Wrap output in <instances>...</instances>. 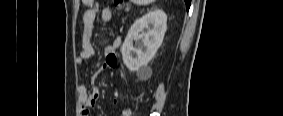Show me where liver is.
Masks as SVG:
<instances>
[{"instance_id": "liver-1", "label": "liver", "mask_w": 283, "mask_h": 116, "mask_svg": "<svg viewBox=\"0 0 283 116\" xmlns=\"http://www.w3.org/2000/svg\"><path fill=\"white\" fill-rule=\"evenodd\" d=\"M139 4H150L153 0H135Z\"/></svg>"}]
</instances>
